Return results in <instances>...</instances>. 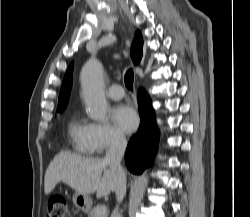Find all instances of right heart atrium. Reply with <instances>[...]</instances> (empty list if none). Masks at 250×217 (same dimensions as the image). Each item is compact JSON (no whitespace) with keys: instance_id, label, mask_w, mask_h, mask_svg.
Masks as SVG:
<instances>
[{"instance_id":"right-heart-atrium-1","label":"right heart atrium","mask_w":250,"mask_h":217,"mask_svg":"<svg viewBox=\"0 0 250 217\" xmlns=\"http://www.w3.org/2000/svg\"><path fill=\"white\" fill-rule=\"evenodd\" d=\"M87 137L91 153L97 155L119 148L126 142L124 134L106 121L88 123Z\"/></svg>"}]
</instances>
